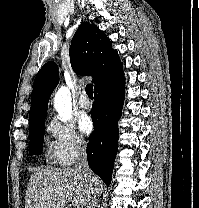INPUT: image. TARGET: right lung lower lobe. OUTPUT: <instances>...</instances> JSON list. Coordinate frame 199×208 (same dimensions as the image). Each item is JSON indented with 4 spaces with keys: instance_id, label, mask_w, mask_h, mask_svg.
I'll list each match as a JSON object with an SVG mask.
<instances>
[{
    "instance_id": "98d812e1",
    "label": "right lung lower lobe",
    "mask_w": 199,
    "mask_h": 208,
    "mask_svg": "<svg viewBox=\"0 0 199 208\" xmlns=\"http://www.w3.org/2000/svg\"><path fill=\"white\" fill-rule=\"evenodd\" d=\"M125 96V78L94 91L91 109L94 131L87 144L90 168L107 186L112 179L113 165L118 148V124Z\"/></svg>"
}]
</instances>
